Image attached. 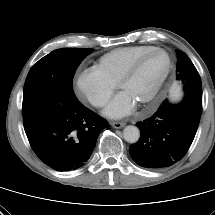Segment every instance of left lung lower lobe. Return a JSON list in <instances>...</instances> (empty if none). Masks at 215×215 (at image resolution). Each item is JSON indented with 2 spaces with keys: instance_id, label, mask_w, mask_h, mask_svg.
Listing matches in <instances>:
<instances>
[{
  "instance_id": "obj_1",
  "label": "left lung lower lobe",
  "mask_w": 215,
  "mask_h": 215,
  "mask_svg": "<svg viewBox=\"0 0 215 215\" xmlns=\"http://www.w3.org/2000/svg\"><path fill=\"white\" fill-rule=\"evenodd\" d=\"M202 112V101L185 96L179 104L165 100L156 113L137 122L141 136L129 148L135 163L160 169L181 160L195 137Z\"/></svg>"
}]
</instances>
